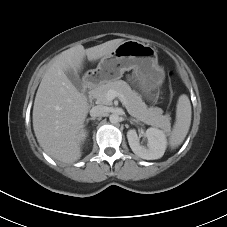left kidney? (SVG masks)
<instances>
[{
	"mask_svg": "<svg viewBox=\"0 0 227 227\" xmlns=\"http://www.w3.org/2000/svg\"><path fill=\"white\" fill-rule=\"evenodd\" d=\"M148 140L147 147L140 145L139 137L135 129L127 132V139L132 151L142 159L155 160L164 155L167 146L165 132L157 128H148L145 132Z\"/></svg>",
	"mask_w": 227,
	"mask_h": 227,
	"instance_id": "left-kidney-1",
	"label": "left kidney"
}]
</instances>
